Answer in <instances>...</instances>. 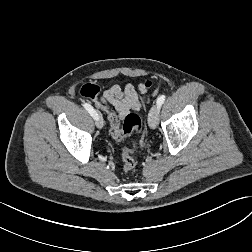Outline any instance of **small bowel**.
Returning a JSON list of instances; mask_svg holds the SVG:
<instances>
[{
    "instance_id": "obj_1",
    "label": "small bowel",
    "mask_w": 252,
    "mask_h": 252,
    "mask_svg": "<svg viewBox=\"0 0 252 252\" xmlns=\"http://www.w3.org/2000/svg\"><path fill=\"white\" fill-rule=\"evenodd\" d=\"M146 88L141 84L134 86L127 84L121 87L118 84H112L101 95L103 104L114 108L119 118L124 120L132 111H140L143 107V95Z\"/></svg>"
}]
</instances>
